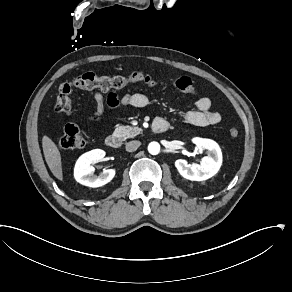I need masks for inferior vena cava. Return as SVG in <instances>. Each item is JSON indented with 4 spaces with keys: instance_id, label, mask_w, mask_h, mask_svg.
Segmentation results:
<instances>
[{
    "instance_id": "obj_1",
    "label": "inferior vena cava",
    "mask_w": 292,
    "mask_h": 292,
    "mask_svg": "<svg viewBox=\"0 0 292 292\" xmlns=\"http://www.w3.org/2000/svg\"><path fill=\"white\" fill-rule=\"evenodd\" d=\"M141 145V142L140 141H137V140H133V141H130L128 143H126V151L127 152H133L135 151L139 146Z\"/></svg>"
}]
</instances>
